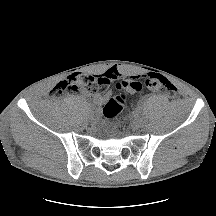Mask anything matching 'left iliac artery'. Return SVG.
<instances>
[{"label": "left iliac artery", "instance_id": "obj_1", "mask_svg": "<svg viewBox=\"0 0 216 216\" xmlns=\"http://www.w3.org/2000/svg\"><path fill=\"white\" fill-rule=\"evenodd\" d=\"M136 111L140 112L141 111V106H138L137 109H136Z\"/></svg>", "mask_w": 216, "mask_h": 216}]
</instances>
